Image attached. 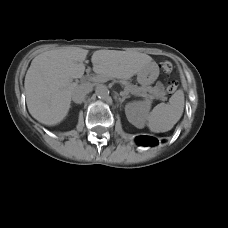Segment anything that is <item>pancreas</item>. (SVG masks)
<instances>
[{"label":"pancreas","instance_id":"obj_1","mask_svg":"<svg viewBox=\"0 0 228 228\" xmlns=\"http://www.w3.org/2000/svg\"><path fill=\"white\" fill-rule=\"evenodd\" d=\"M97 81L104 82L106 79L102 76L96 77ZM125 86V93H131V94H146L149 95L151 99H160L165 95V92L159 89L158 87H139L137 85H132L127 81L123 82ZM149 93V94H147Z\"/></svg>","mask_w":228,"mask_h":228}]
</instances>
